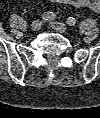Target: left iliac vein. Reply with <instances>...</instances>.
<instances>
[{
  "instance_id": "4c4485c4",
  "label": "left iliac vein",
  "mask_w": 100,
  "mask_h": 118,
  "mask_svg": "<svg viewBox=\"0 0 100 118\" xmlns=\"http://www.w3.org/2000/svg\"><path fill=\"white\" fill-rule=\"evenodd\" d=\"M50 24H51V27L57 32L65 33L67 31V26L63 23L51 22Z\"/></svg>"
}]
</instances>
